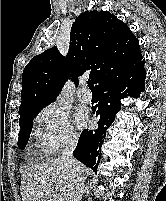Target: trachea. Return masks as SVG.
Listing matches in <instances>:
<instances>
[{"label": "trachea", "mask_w": 166, "mask_h": 201, "mask_svg": "<svg viewBox=\"0 0 166 201\" xmlns=\"http://www.w3.org/2000/svg\"><path fill=\"white\" fill-rule=\"evenodd\" d=\"M87 85L91 90L95 89L93 83L90 80H88Z\"/></svg>", "instance_id": "obj_1"}]
</instances>
